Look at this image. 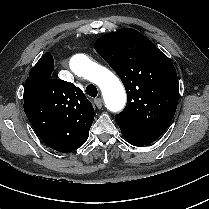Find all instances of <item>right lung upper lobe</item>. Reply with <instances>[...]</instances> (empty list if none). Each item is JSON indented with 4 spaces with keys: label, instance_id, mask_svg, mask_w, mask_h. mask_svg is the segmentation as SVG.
I'll use <instances>...</instances> for the list:
<instances>
[{
    "label": "right lung upper lobe",
    "instance_id": "1",
    "mask_svg": "<svg viewBox=\"0 0 209 209\" xmlns=\"http://www.w3.org/2000/svg\"><path fill=\"white\" fill-rule=\"evenodd\" d=\"M54 60L45 53L24 85V111L35 128L51 129L57 142L74 151L84 144L94 120V108L73 83L52 77Z\"/></svg>",
    "mask_w": 209,
    "mask_h": 209
}]
</instances>
